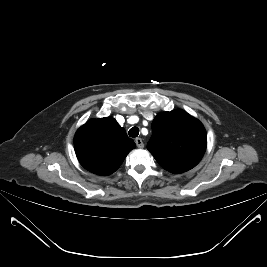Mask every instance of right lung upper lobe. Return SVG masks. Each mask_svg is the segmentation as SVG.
<instances>
[{
    "mask_svg": "<svg viewBox=\"0 0 267 267\" xmlns=\"http://www.w3.org/2000/svg\"><path fill=\"white\" fill-rule=\"evenodd\" d=\"M74 147L80 164L102 176L115 172L136 147L114 118L91 119L78 129Z\"/></svg>",
    "mask_w": 267,
    "mask_h": 267,
    "instance_id": "obj_1",
    "label": "right lung upper lobe"
}]
</instances>
